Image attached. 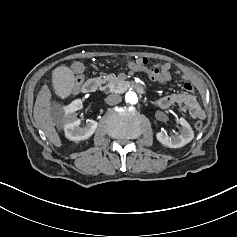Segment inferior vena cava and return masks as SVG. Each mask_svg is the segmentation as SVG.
Wrapping results in <instances>:
<instances>
[{
	"instance_id": "1",
	"label": "inferior vena cava",
	"mask_w": 237,
	"mask_h": 237,
	"mask_svg": "<svg viewBox=\"0 0 237 237\" xmlns=\"http://www.w3.org/2000/svg\"><path fill=\"white\" fill-rule=\"evenodd\" d=\"M108 105H116L122 101V98L119 94H110L105 99Z\"/></svg>"
}]
</instances>
